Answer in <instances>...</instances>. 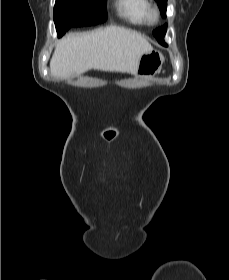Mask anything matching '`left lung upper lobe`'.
<instances>
[{
	"label": "left lung upper lobe",
	"mask_w": 229,
	"mask_h": 280,
	"mask_svg": "<svg viewBox=\"0 0 229 280\" xmlns=\"http://www.w3.org/2000/svg\"><path fill=\"white\" fill-rule=\"evenodd\" d=\"M155 1L158 2V6L162 16L166 17L167 0H155ZM166 31H167V25L159 27L153 31V35L156 37L157 41L162 45L166 44L164 42V36L166 34Z\"/></svg>",
	"instance_id": "left-lung-upper-lobe-1"
}]
</instances>
